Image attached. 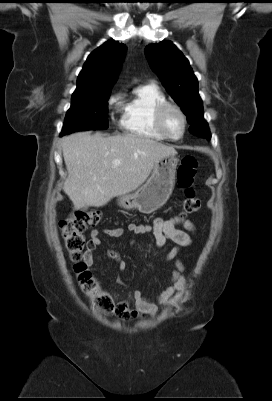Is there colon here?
<instances>
[{"instance_id":"obj_1","label":"colon","mask_w":272,"mask_h":401,"mask_svg":"<svg viewBox=\"0 0 272 401\" xmlns=\"http://www.w3.org/2000/svg\"><path fill=\"white\" fill-rule=\"evenodd\" d=\"M197 168V159L194 156H185L177 171L178 185L185 190V199L182 203V216L197 212L201 207V200L193 189V182ZM101 221L98 211L78 210L75 217L61 224L65 247L69 257L75 265V272L82 290L94 300L97 307L105 314L119 312L112 295L104 291L92 277L87 265L82 262L85 249L84 232Z\"/></svg>"}]
</instances>
